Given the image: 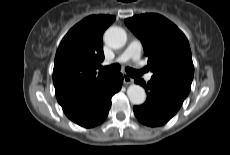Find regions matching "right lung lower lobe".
Listing matches in <instances>:
<instances>
[{"mask_svg":"<svg viewBox=\"0 0 230 155\" xmlns=\"http://www.w3.org/2000/svg\"><path fill=\"white\" fill-rule=\"evenodd\" d=\"M122 82L121 73L113 74L87 96L62 105V109L66 116L78 125L86 128L94 127L107 117L111 107V97L121 89Z\"/></svg>","mask_w":230,"mask_h":155,"instance_id":"98d812e1","label":"right lung lower lobe"}]
</instances>
